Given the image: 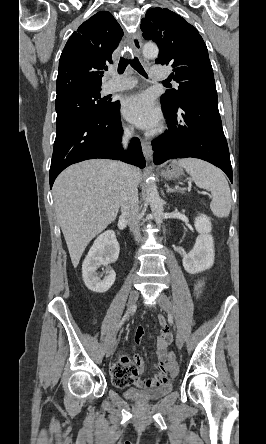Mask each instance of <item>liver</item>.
<instances>
[{"mask_svg": "<svg viewBox=\"0 0 266 444\" xmlns=\"http://www.w3.org/2000/svg\"><path fill=\"white\" fill-rule=\"evenodd\" d=\"M130 168L140 183V170ZM121 186L120 163L102 159L74 164L55 180L54 207L74 267L88 243L116 219Z\"/></svg>", "mask_w": 266, "mask_h": 444, "instance_id": "6515ba94", "label": "liver"}]
</instances>
